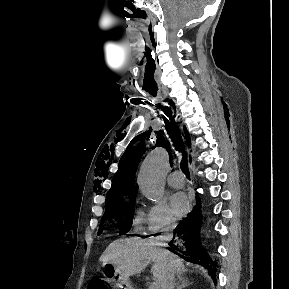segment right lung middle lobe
I'll list each match as a JSON object with an SVG mask.
<instances>
[{"mask_svg":"<svg viewBox=\"0 0 289 289\" xmlns=\"http://www.w3.org/2000/svg\"><path fill=\"white\" fill-rule=\"evenodd\" d=\"M135 197L129 199V201L123 200L118 202H111L105 204V213L102 217V221L99 227L98 233L103 231L102 224L109 219H115L120 223L121 233H126L132 226L133 209L135 205Z\"/></svg>","mask_w":289,"mask_h":289,"instance_id":"dd1d6c3e","label":"right lung middle lobe"}]
</instances>
